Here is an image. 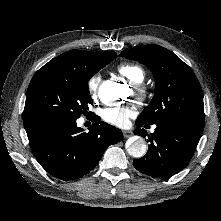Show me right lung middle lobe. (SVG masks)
I'll return each instance as SVG.
<instances>
[{
	"label": "right lung middle lobe",
	"mask_w": 221,
	"mask_h": 221,
	"mask_svg": "<svg viewBox=\"0 0 221 221\" xmlns=\"http://www.w3.org/2000/svg\"><path fill=\"white\" fill-rule=\"evenodd\" d=\"M113 58L77 71L38 70L27 89L23 120L73 121L93 104L88 81Z\"/></svg>",
	"instance_id": "right-lung-middle-lobe-1"
}]
</instances>
